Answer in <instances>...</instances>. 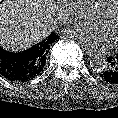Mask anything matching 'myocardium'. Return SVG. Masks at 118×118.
Returning a JSON list of instances; mask_svg holds the SVG:
<instances>
[{
	"label": "myocardium",
	"instance_id": "obj_1",
	"mask_svg": "<svg viewBox=\"0 0 118 118\" xmlns=\"http://www.w3.org/2000/svg\"><path fill=\"white\" fill-rule=\"evenodd\" d=\"M117 7H118V0H113L106 6L102 7L101 12L106 15H110L115 11ZM112 47L118 50V44H114Z\"/></svg>",
	"mask_w": 118,
	"mask_h": 118
}]
</instances>
